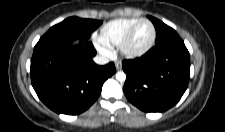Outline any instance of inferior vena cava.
Returning a JSON list of instances; mask_svg holds the SVG:
<instances>
[{
    "label": "inferior vena cava",
    "mask_w": 225,
    "mask_h": 132,
    "mask_svg": "<svg viewBox=\"0 0 225 132\" xmlns=\"http://www.w3.org/2000/svg\"><path fill=\"white\" fill-rule=\"evenodd\" d=\"M93 60L96 64L99 65H105L109 62V58L105 56H95Z\"/></svg>",
    "instance_id": "obj_1"
}]
</instances>
